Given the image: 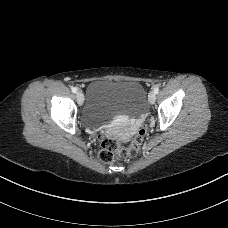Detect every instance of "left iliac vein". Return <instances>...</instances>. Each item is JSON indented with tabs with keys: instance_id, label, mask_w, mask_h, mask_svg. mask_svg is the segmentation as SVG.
Returning a JSON list of instances; mask_svg holds the SVG:
<instances>
[{
	"instance_id": "1",
	"label": "left iliac vein",
	"mask_w": 228,
	"mask_h": 228,
	"mask_svg": "<svg viewBox=\"0 0 228 228\" xmlns=\"http://www.w3.org/2000/svg\"><path fill=\"white\" fill-rule=\"evenodd\" d=\"M148 101L150 104H154L156 101V94L154 93V91L149 92L148 94Z\"/></svg>"
}]
</instances>
